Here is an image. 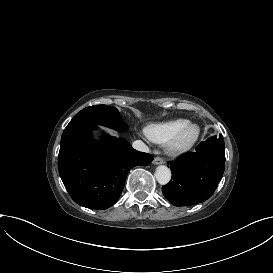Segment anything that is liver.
<instances>
[{"instance_id": "6515ba94", "label": "liver", "mask_w": 273, "mask_h": 273, "mask_svg": "<svg viewBox=\"0 0 273 273\" xmlns=\"http://www.w3.org/2000/svg\"><path fill=\"white\" fill-rule=\"evenodd\" d=\"M107 132H109L110 134L112 135H115V132L111 129H108V128H104Z\"/></svg>"}]
</instances>
